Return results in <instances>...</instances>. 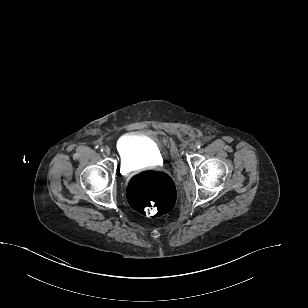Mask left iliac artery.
<instances>
[{
    "label": "left iliac artery",
    "instance_id": "left-iliac-artery-1",
    "mask_svg": "<svg viewBox=\"0 0 308 308\" xmlns=\"http://www.w3.org/2000/svg\"><path fill=\"white\" fill-rule=\"evenodd\" d=\"M196 145H197V148H200L203 144L202 142H197Z\"/></svg>",
    "mask_w": 308,
    "mask_h": 308
}]
</instances>
